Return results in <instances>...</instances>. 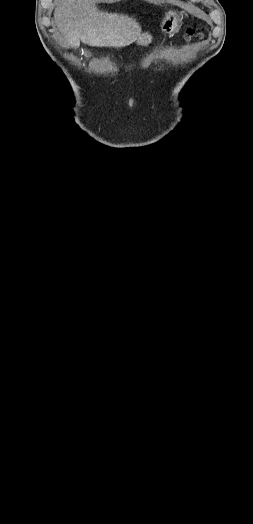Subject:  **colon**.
<instances>
[{"instance_id": "5ec220e1", "label": "colon", "mask_w": 253, "mask_h": 524, "mask_svg": "<svg viewBox=\"0 0 253 524\" xmlns=\"http://www.w3.org/2000/svg\"><path fill=\"white\" fill-rule=\"evenodd\" d=\"M204 30L200 27L193 26L187 29L186 38L188 41H197L203 38Z\"/></svg>"}]
</instances>
